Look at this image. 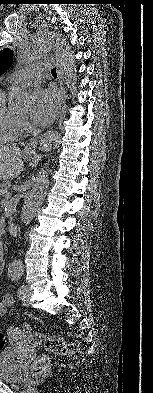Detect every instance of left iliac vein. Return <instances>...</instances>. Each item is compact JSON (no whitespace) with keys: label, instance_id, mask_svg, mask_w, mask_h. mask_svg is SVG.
<instances>
[{"label":"left iliac vein","instance_id":"4c4485c4","mask_svg":"<svg viewBox=\"0 0 153 393\" xmlns=\"http://www.w3.org/2000/svg\"><path fill=\"white\" fill-rule=\"evenodd\" d=\"M31 295V289L29 286H25V288L23 289V294L20 296L23 304L25 306H29L30 305V301H29V297Z\"/></svg>","mask_w":153,"mask_h":393}]
</instances>
